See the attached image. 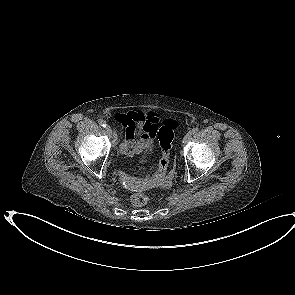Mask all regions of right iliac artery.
Segmentation results:
<instances>
[{"label": "right iliac artery", "instance_id": "82829eb1", "mask_svg": "<svg viewBox=\"0 0 295 295\" xmlns=\"http://www.w3.org/2000/svg\"><path fill=\"white\" fill-rule=\"evenodd\" d=\"M98 123L102 126V127H106V122L103 119H99Z\"/></svg>", "mask_w": 295, "mask_h": 295}]
</instances>
